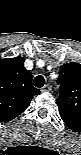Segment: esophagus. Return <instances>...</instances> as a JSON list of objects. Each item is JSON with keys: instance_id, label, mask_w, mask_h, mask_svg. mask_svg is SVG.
Wrapping results in <instances>:
<instances>
[{"instance_id": "1", "label": "esophagus", "mask_w": 81, "mask_h": 155, "mask_svg": "<svg viewBox=\"0 0 81 155\" xmlns=\"http://www.w3.org/2000/svg\"><path fill=\"white\" fill-rule=\"evenodd\" d=\"M50 90H51V87H50V85H48V84L44 85V86L42 87V89H41L42 92H46V91H50Z\"/></svg>"}]
</instances>
